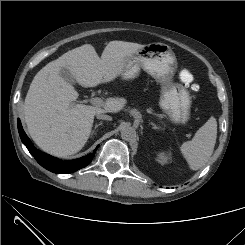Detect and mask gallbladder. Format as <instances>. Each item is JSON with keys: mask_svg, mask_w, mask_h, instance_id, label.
<instances>
[{"mask_svg": "<svg viewBox=\"0 0 245 245\" xmlns=\"http://www.w3.org/2000/svg\"><path fill=\"white\" fill-rule=\"evenodd\" d=\"M61 77L68 83L70 84H76V80L73 77V75L71 74V72L66 69V68H62L61 72H60Z\"/></svg>", "mask_w": 245, "mask_h": 245, "instance_id": "obj_1", "label": "gallbladder"}]
</instances>
